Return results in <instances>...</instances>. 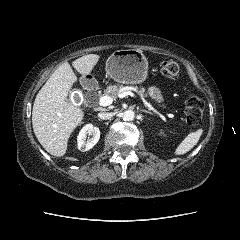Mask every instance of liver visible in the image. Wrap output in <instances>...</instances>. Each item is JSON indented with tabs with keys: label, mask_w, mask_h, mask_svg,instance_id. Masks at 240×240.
Wrapping results in <instances>:
<instances>
[{
	"label": "liver",
	"mask_w": 240,
	"mask_h": 240,
	"mask_svg": "<svg viewBox=\"0 0 240 240\" xmlns=\"http://www.w3.org/2000/svg\"><path fill=\"white\" fill-rule=\"evenodd\" d=\"M100 56L84 55L72 62L83 77L90 75ZM68 62L60 65L38 92L32 111L33 131L43 148L53 156H64L68 139L84 118L83 109L66 101L77 82Z\"/></svg>",
	"instance_id": "1"
}]
</instances>
